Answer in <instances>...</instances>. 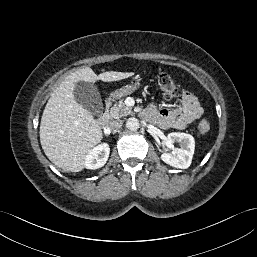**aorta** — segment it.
Wrapping results in <instances>:
<instances>
[{"label":"aorta","mask_w":257,"mask_h":257,"mask_svg":"<svg viewBox=\"0 0 257 257\" xmlns=\"http://www.w3.org/2000/svg\"><path fill=\"white\" fill-rule=\"evenodd\" d=\"M126 126L129 130L136 131L139 128L140 123L136 118H129L126 122Z\"/></svg>","instance_id":"1"}]
</instances>
